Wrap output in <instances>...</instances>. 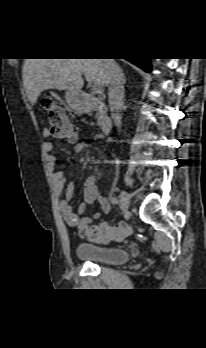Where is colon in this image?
Masks as SVG:
<instances>
[{"instance_id": "1", "label": "colon", "mask_w": 206, "mask_h": 348, "mask_svg": "<svg viewBox=\"0 0 206 348\" xmlns=\"http://www.w3.org/2000/svg\"><path fill=\"white\" fill-rule=\"evenodd\" d=\"M49 120V132L51 136L73 141L75 139V130L67 117L64 109L55 103L52 98H45L42 102ZM132 227L128 223H118L108 225L100 223L98 225H89L81 231V235L91 241L105 243L110 241H120L130 235Z\"/></svg>"}]
</instances>
